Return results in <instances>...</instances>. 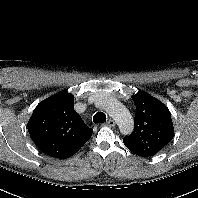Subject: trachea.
I'll list each match as a JSON object with an SVG mask.
<instances>
[{
  "mask_svg": "<svg viewBox=\"0 0 198 198\" xmlns=\"http://www.w3.org/2000/svg\"><path fill=\"white\" fill-rule=\"evenodd\" d=\"M95 124L106 122V115L103 112H97L93 117Z\"/></svg>",
  "mask_w": 198,
  "mask_h": 198,
  "instance_id": "3493384b",
  "label": "trachea"
}]
</instances>
